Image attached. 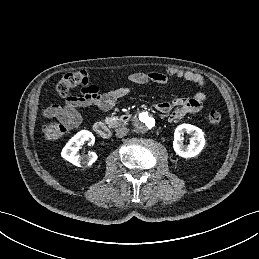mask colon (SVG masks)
<instances>
[{"label":"colon","instance_id":"1","mask_svg":"<svg viewBox=\"0 0 259 259\" xmlns=\"http://www.w3.org/2000/svg\"><path fill=\"white\" fill-rule=\"evenodd\" d=\"M89 83L88 74L85 71L66 73L57 83L56 92L62 98H68L74 89L87 87ZM210 125H217L221 121L218 111H211L207 117ZM67 131V126L60 122H49L43 126V135L46 140L54 141L62 137Z\"/></svg>","mask_w":259,"mask_h":259}]
</instances>
